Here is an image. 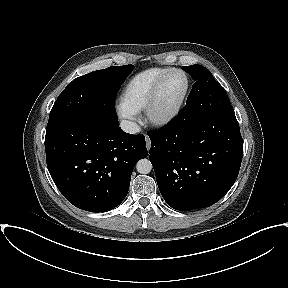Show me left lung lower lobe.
I'll list each match as a JSON object with an SVG mask.
<instances>
[{
  "label": "left lung lower lobe",
  "mask_w": 288,
  "mask_h": 288,
  "mask_svg": "<svg viewBox=\"0 0 288 288\" xmlns=\"http://www.w3.org/2000/svg\"><path fill=\"white\" fill-rule=\"evenodd\" d=\"M148 135L149 160L159 190L172 208L209 207L236 181L243 156L237 120L218 115L196 118L180 112Z\"/></svg>",
  "instance_id": "1"
}]
</instances>
